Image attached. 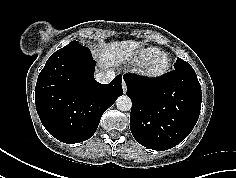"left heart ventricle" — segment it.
Segmentation results:
<instances>
[{"label": "left heart ventricle", "mask_w": 236, "mask_h": 178, "mask_svg": "<svg viewBox=\"0 0 236 178\" xmlns=\"http://www.w3.org/2000/svg\"><path fill=\"white\" fill-rule=\"evenodd\" d=\"M166 64V59H161L156 63V68H162Z\"/></svg>", "instance_id": "left-heart-ventricle-1"}]
</instances>
